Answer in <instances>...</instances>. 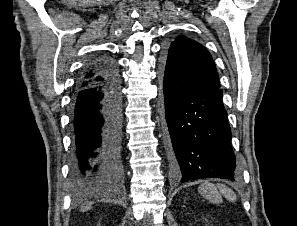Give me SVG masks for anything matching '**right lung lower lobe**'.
<instances>
[{
  "label": "right lung lower lobe",
  "mask_w": 297,
  "mask_h": 226,
  "mask_svg": "<svg viewBox=\"0 0 297 226\" xmlns=\"http://www.w3.org/2000/svg\"><path fill=\"white\" fill-rule=\"evenodd\" d=\"M101 80L78 87L73 97L72 177L78 193L121 182L122 100L113 62L95 63Z\"/></svg>",
  "instance_id": "obj_1"
}]
</instances>
